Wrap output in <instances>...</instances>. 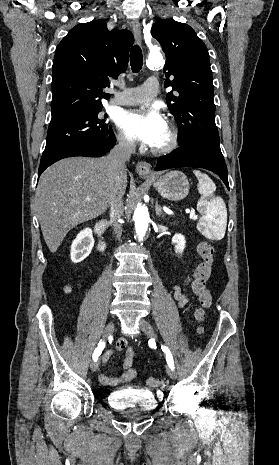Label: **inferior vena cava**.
<instances>
[{
	"label": "inferior vena cava",
	"instance_id": "1",
	"mask_svg": "<svg viewBox=\"0 0 279 465\" xmlns=\"http://www.w3.org/2000/svg\"><path fill=\"white\" fill-rule=\"evenodd\" d=\"M135 149L136 145L134 141L119 137L118 144L105 157L110 171V214L113 220V230L116 239H120L122 234V227L118 219L123 215L124 211L122 199L124 192L121 189V176L126 171L125 162L130 159Z\"/></svg>",
	"mask_w": 279,
	"mask_h": 465
}]
</instances>
